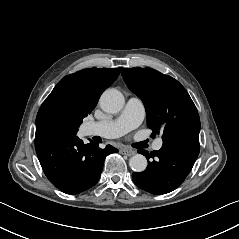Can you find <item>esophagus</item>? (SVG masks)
I'll list each match as a JSON object with an SVG mask.
<instances>
[{"label":"esophagus","instance_id":"1","mask_svg":"<svg viewBox=\"0 0 239 239\" xmlns=\"http://www.w3.org/2000/svg\"><path fill=\"white\" fill-rule=\"evenodd\" d=\"M121 154L127 155V156H133L135 154L134 150H122Z\"/></svg>","mask_w":239,"mask_h":239}]
</instances>
